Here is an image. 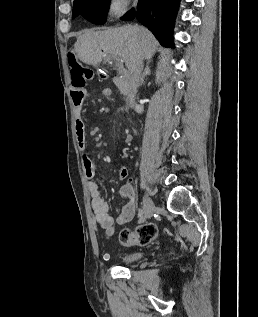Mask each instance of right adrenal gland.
Instances as JSON below:
<instances>
[{"label":"right adrenal gland","instance_id":"right-adrenal-gland-1","mask_svg":"<svg viewBox=\"0 0 258 317\" xmlns=\"http://www.w3.org/2000/svg\"><path fill=\"white\" fill-rule=\"evenodd\" d=\"M149 62H150V60H148L146 66L144 68V72H142V76L140 78V82H139L138 86H142V84H144V78H145L146 74H151V68L149 66Z\"/></svg>","mask_w":258,"mask_h":317}]
</instances>
